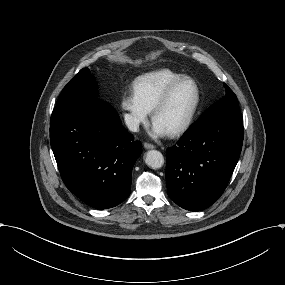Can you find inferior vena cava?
<instances>
[{"mask_svg":"<svg viewBox=\"0 0 285 285\" xmlns=\"http://www.w3.org/2000/svg\"><path fill=\"white\" fill-rule=\"evenodd\" d=\"M125 123L129 130L137 132L139 130V120L130 114L124 115Z\"/></svg>","mask_w":285,"mask_h":285,"instance_id":"1","label":"inferior vena cava"}]
</instances>
